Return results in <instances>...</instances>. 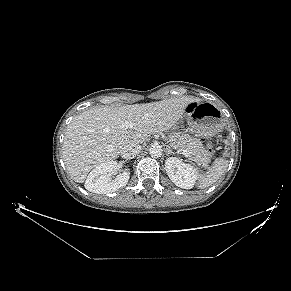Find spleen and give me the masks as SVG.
Here are the masks:
<instances>
[{"mask_svg": "<svg viewBox=\"0 0 291 291\" xmlns=\"http://www.w3.org/2000/svg\"><path fill=\"white\" fill-rule=\"evenodd\" d=\"M227 167L228 160L217 158L212 167L206 173L198 177V187L204 189L214 184L227 170Z\"/></svg>", "mask_w": 291, "mask_h": 291, "instance_id": "obj_1", "label": "spleen"}]
</instances>
